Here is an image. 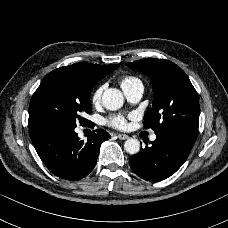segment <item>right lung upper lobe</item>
I'll return each instance as SVG.
<instances>
[{"instance_id":"1","label":"right lung upper lobe","mask_w":228,"mask_h":228,"mask_svg":"<svg viewBox=\"0 0 228 228\" xmlns=\"http://www.w3.org/2000/svg\"><path fill=\"white\" fill-rule=\"evenodd\" d=\"M69 68H76L83 71H86L90 75L102 79L108 73H111L118 68L117 65H96L89 63H76L70 66H64Z\"/></svg>"}]
</instances>
